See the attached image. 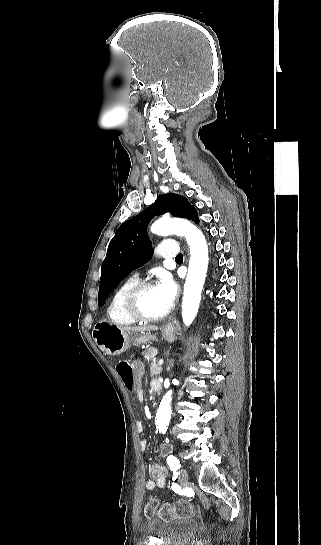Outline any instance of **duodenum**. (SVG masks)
I'll return each instance as SVG.
<instances>
[{
    "mask_svg": "<svg viewBox=\"0 0 321 545\" xmlns=\"http://www.w3.org/2000/svg\"><path fill=\"white\" fill-rule=\"evenodd\" d=\"M154 391H155L157 394H159L160 391H161V385H160V384H156V385L154 386Z\"/></svg>",
    "mask_w": 321,
    "mask_h": 545,
    "instance_id": "duodenum-1",
    "label": "duodenum"
}]
</instances>
